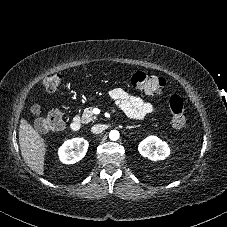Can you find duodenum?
<instances>
[{"label": "duodenum", "mask_w": 227, "mask_h": 227, "mask_svg": "<svg viewBox=\"0 0 227 227\" xmlns=\"http://www.w3.org/2000/svg\"><path fill=\"white\" fill-rule=\"evenodd\" d=\"M69 127L72 131L77 132L81 129V121L79 118H73L70 123Z\"/></svg>", "instance_id": "obj_1"}]
</instances>
